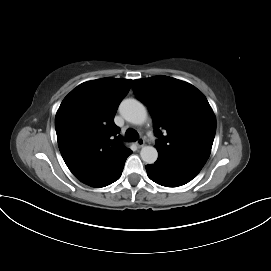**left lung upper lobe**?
<instances>
[{"label": "left lung upper lobe", "mask_w": 271, "mask_h": 271, "mask_svg": "<svg viewBox=\"0 0 271 271\" xmlns=\"http://www.w3.org/2000/svg\"><path fill=\"white\" fill-rule=\"evenodd\" d=\"M132 87L153 118L158 153L204 166L216 132L206 97L193 85L163 75L133 80Z\"/></svg>", "instance_id": "obj_1"}]
</instances>
